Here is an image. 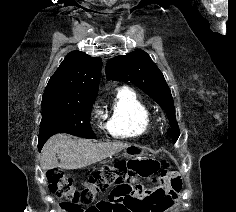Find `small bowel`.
<instances>
[{
	"label": "small bowel",
	"instance_id": "c3829d8e",
	"mask_svg": "<svg viewBox=\"0 0 236 212\" xmlns=\"http://www.w3.org/2000/svg\"><path fill=\"white\" fill-rule=\"evenodd\" d=\"M160 176L169 187L145 189L152 184L153 175H128V179H115V187L109 190L107 199H97L85 212H165L176 199L180 183L176 176L164 168Z\"/></svg>",
	"mask_w": 236,
	"mask_h": 212
}]
</instances>
